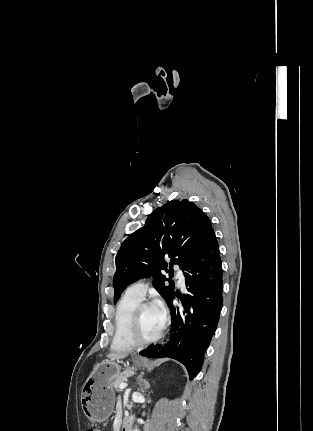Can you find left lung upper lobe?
<instances>
[{
  "instance_id": "left-lung-upper-lobe-1",
  "label": "left lung upper lobe",
  "mask_w": 313,
  "mask_h": 431,
  "mask_svg": "<svg viewBox=\"0 0 313 431\" xmlns=\"http://www.w3.org/2000/svg\"><path fill=\"white\" fill-rule=\"evenodd\" d=\"M211 228L210 219L188 200H172L157 208L145 225L123 242L116 255V273L113 278L114 303L127 285L139 278L153 276V285L168 302L174 294V282L165 286L164 257L170 266L181 269L191 262Z\"/></svg>"
}]
</instances>
